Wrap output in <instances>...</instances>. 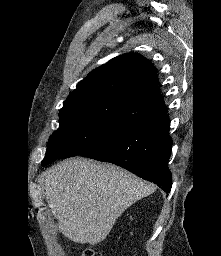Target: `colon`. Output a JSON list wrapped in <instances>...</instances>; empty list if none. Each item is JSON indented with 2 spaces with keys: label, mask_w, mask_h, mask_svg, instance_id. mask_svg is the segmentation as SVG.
<instances>
[{
  "label": "colon",
  "mask_w": 221,
  "mask_h": 256,
  "mask_svg": "<svg viewBox=\"0 0 221 256\" xmlns=\"http://www.w3.org/2000/svg\"><path fill=\"white\" fill-rule=\"evenodd\" d=\"M81 256H101V254L95 252L94 250L92 249H86Z\"/></svg>",
  "instance_id": "obj_1"
}]
</instances>
